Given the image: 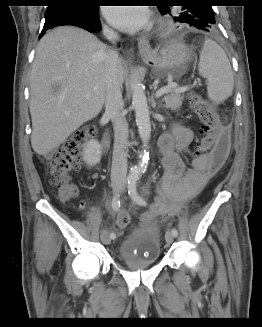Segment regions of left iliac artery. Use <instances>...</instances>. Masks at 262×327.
Returning a JSON list of instances; mask_svg holds the SVG:
<instances>
[{
    "label": "left iliac artery",
    "mask_w": 262,
    "mask_h": 327,
    "mask_svg": "<svg viewBox=\"0 0 262 327\" xmlns=\"http://www.w3.org/2000/svg\"><path fill=\"white\" fill-rule=\"evenodd\" d=\"M136 185H137V179L132 178L128 183V193L133 199V201H135L137 204L146 206L147 202L138 194ZM171 233L174 235V237L178 235V231L175 228L171 230Z\"/></svg>",
    "instance_id": "obj_1"
}]
</instances>
